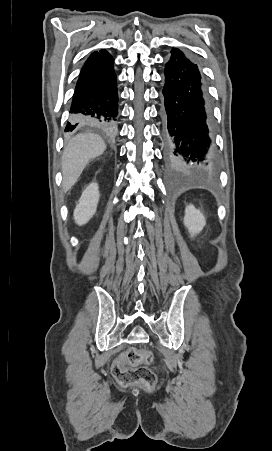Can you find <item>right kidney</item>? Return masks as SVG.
Returning <instances> with one entry per match:
<instances>
[{
  "label": "right kidney",
  "mask_w": 272,
  "mask_h": 451,
  "mask_svg": "<svg viewBox=\"0 0 272 451\" xmlns=\"http://www.w3.org/2000/svg\"><path fill=\"white\" fill-rule=\"evenodd\" d=\"M99 196L98 184H90V186L82 192L79 204H77L73 214L75 224L83 226V224L89 222L90 218H93L97 210Z\"/></svg>",
  "instance_id": "1"
}]
</instances>
